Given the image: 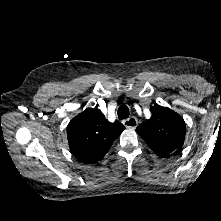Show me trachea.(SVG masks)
I'll return each instance as SVG.
<instances>
[{"label": "trachea", "mask_w": 221, "mask_h": 221, "mask_svg": "<svg viewBox=\"0 0 221 221\" xmlns=\"http://www.w3.org/2000/svg\"><path fill=\"white\" fill-rule=\"evenodd\" d=\"M118 118L120 120L126 119L129 117V108L125 105L122 104L119 108H118Z\"/></svg>", "instance_id": "3493384b"}]
</instances>
